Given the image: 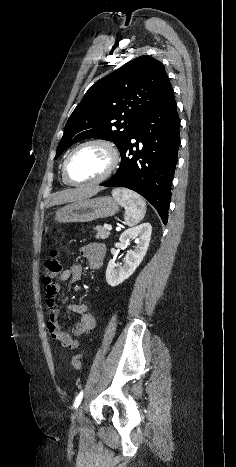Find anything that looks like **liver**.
Segmentation results:
<instances>
[{"instance_id": "liver-1", "label": "liver", "mask_w": 236, "mask_h": 467, "mask_svg": "<svg viewBox=\"0 0 236 467\" xmlns=\"http://www.w3.org/2000/svg\"><path fill=\"white\" fill-rule=\"evenodd\" d=\"M102 188L82 186L76 189L65 190L54 194L52 200L47 207L64 204L67 202H75L87 199L97 194Z\"/></svg>"}]
</instances>
